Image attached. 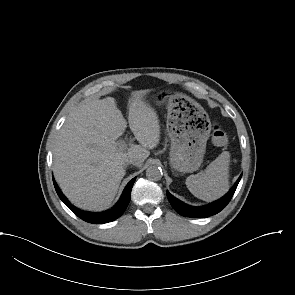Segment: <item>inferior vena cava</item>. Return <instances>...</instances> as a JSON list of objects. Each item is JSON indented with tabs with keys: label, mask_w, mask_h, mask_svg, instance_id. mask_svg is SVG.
Instances as JSON below:
<instances>
[{
	"label": "inferior vena cava",
	"mask_w": 295,
	"mask_h": 295,
	"mask_svg": "<svg viewBox=\"0 0 295 295\" xmlns=\"http://www.w3.org/2000/svg\"><path fill=\"white\" fill-rule=\"evenodd\" d=\"M126 163L133 164V165L137 166L139 163H141V160L137 155L129 154L126 158Z\"/></svg>",
	"instance_id": "1"
}]
</instances>
